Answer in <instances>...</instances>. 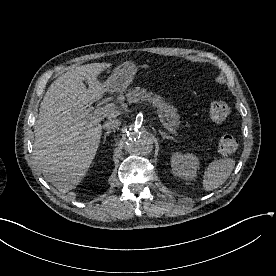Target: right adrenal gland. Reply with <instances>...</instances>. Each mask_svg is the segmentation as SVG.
I'll list each match as a JSON object with an SVG mask.
<instances>
[{"label":"right adrenal gland","instance_id":"1","mask_svg":"<svg viewBox=\"0 0 276 276\" xmlns=\"http://www.w3.org/2000/svg\"><path fill=\"white\" fill-rule=\"evenodd\" d=\"M110 133H111V131H107V132L104 134V141H103V143L106 141V137L109 136Z\"/></svg>","mask_w":276,"mask_h":276}]
</instances>
